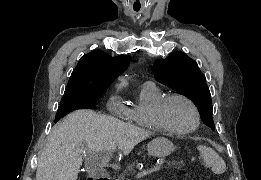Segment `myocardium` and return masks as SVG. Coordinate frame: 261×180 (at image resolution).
<instances>
[{"label":"myocardium","instance_id":"1","mask_svg":"<svg viewBox=\"0 0 261 180\" xmlns=\"http://www.w3.org/2000/svg\"><path fill=\"white\" fill-rule=\"evenodd\" d=\"M173 101H182L190 106L194 114L193 124L186 130L173 131L167 128L158 117L159 111ZM142 121L146 128L149 129L154 136H162L168 138L184 137L194 132L201 122V112L197 104L188 96L183 94L165 95L157 105L142 115Z\"/></svg>","mask_w":261,"mask_h":180}]
</instances>
